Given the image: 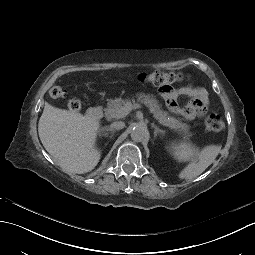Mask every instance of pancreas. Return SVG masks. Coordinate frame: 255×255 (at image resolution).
<instances>
[{
	"label": "pancreas",
	"mask_w": 255,
	"mask_h": 255,
	"mask_svg": "<svg viewBox=\"0 0 255 255\" xmlns=\"http://www.w3.org/2000/svg\"><path fill=\"white\" fill-rule=\"evenodd\" d=\"M136 98L138 102L143 103L149 108L150 112L154 115V118L158 120L160 124H162L163 126L169 127L171 129H175L186 137H191V134L188 131L189 126L186 124H183L182 122L176 120L173 117H170L166 111H163L159 107V104L153 95L137 93ZM132 102H135L134 98L132 99ZM127 103H131V101L128 99L123 100L122 98L110 99L107 103L108 108L104 110L105 116L107 118H115V119H121L125 117L123 113V105Z\"/></svg>",
	"instance_id": "cf45deb5"
}]
</instances>
